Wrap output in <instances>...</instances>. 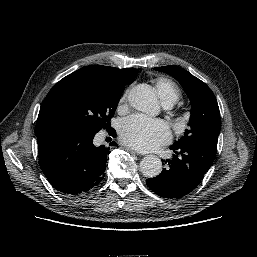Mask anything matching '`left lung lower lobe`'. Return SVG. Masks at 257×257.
Wrapping results in <instances>:
<instances>
[{"label":"left lung lower lobe","mask_w":257,"mask_h":257,"mask_svg":"<svg viewBox=\"0 0 257 257\" xmlns=\"http://www.w3.org/2000/svg\"><path fill=\"white\" fill-rule=\"evenodd\" d=\"M173 158L162 160L164 170L146 180L148 187L164 198H181L193 191L215 159V149L202 144L172 145Z\"/></svg>","instance_id":"1"}]
</instances>
